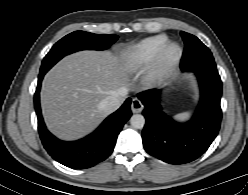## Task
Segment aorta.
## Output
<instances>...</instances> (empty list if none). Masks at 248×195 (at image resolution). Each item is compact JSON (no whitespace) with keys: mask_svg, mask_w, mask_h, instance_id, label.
<instances>
[{"mask_svg":"<svg viewBox=\"0 0 248 195\" xmlns=\"http://www.w3.org/2000/svg\"><path fill=\"white\" fill-rule=\"evenodd\" d=\"M130 124L135 129H141L145 125V118L141 114H134L130 118Z\"/></svg>","mask_w":248,"mask_h":195,"instance_id":"1","label":"aorta"}]
</instances>
